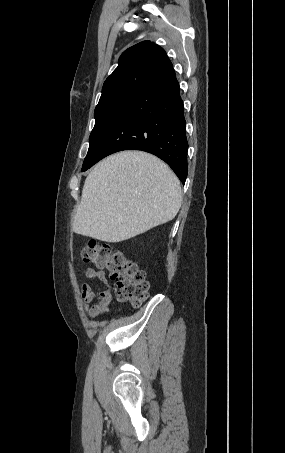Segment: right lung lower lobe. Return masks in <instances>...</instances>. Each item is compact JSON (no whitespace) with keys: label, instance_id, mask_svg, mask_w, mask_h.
Returning a JSON list of instances; mask_svg holds the SVG:
<instances>
[{"label":"right lung lower lobe","instance_id":"98d812e1","mask_svg":"<svg viewBox=\"0 0 285 453\" xmlns=\"http://www.w3.org/2000/svg\"><path fill=\"white\" fill-rule=\"evenodd\" d=\"M175 71L169 68L140 87L121 109L86 171L121 150H142L165 161L184 184L186 122Z\"/></svg>","mask_w":285,"mask_h":453}]
</instances>
